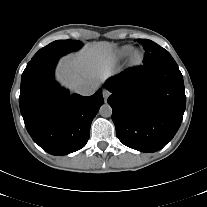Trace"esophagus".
I'll return each instance as SVG.
<instances>
[{
    "mask_svg": "<svg viewBox=\"0 0 207 207\" xmlns=\"http://www.w3.org/2000/svg\"><path fill=\"white\" fill-rule=\"evenodd\" d=\"M111 92L107 89H103L102 95L104 100L106 101L108 99V97L110 96Z\"/></svg>",
    "mask_w": 207,
    "mask_h": 207,
    "instance_id": "esophagus-1",
    "label": "esophagus"
}]
</instances>
